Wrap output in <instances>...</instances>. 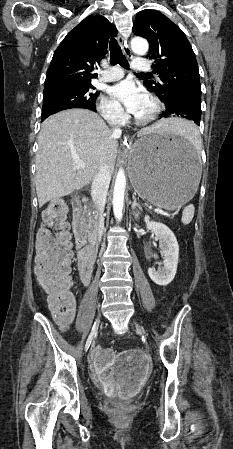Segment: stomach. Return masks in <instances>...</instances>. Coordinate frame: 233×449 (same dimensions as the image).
<instances>
[{
	"mask_svg": "<svg viewBox=\"0 0 233 449\" xmlns=\"http://www.w3.org/2000/svg\"><path fill=\"white\" fill-rule=\"evenodd\" d=\"M128 173L144 200L174 210L193 199L201 173L199 155L174 133H149L132 146Z\"/></svg>",
	"mask_w": 233,
	"mask_h": 449,
	"instance_id": "1",
	"label": "stomach"
}]
</instances>
